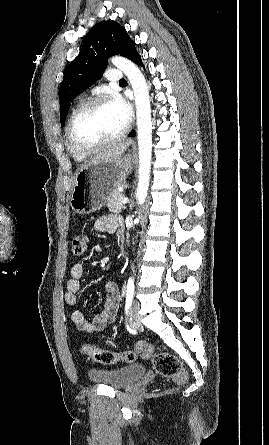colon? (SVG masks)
<instances>
[{
  "mask_svg": "<svg viewBox=\"0 0 269 445\" xmlns=\"http://www.w3.org/2000/svg\"><path fill=\"white\" fill-rule=\"evenodd\" d=\"M87 245L88 238L83 234H76L72 239V254L75 257L82 256ZM81 352L84 356L103 365H112L119 362L133 363L137 359V354H140L144 358H152L154 369L161 376L172 378L178 382H183L186 379L182 363L177 356L166 351L154 353L153 348L142 341L136 343L135 351L127 350L115 353L92 345H85L82 347Z\"/></svg>",
  "mask_w": 269,
  "mask_h": 445,
  "instance_id": "1",
  "label": "colon"
}]
</instances>
